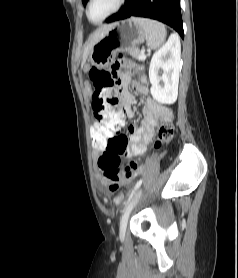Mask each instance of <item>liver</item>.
Masks as SVG:
<instances>
[{
	"label": "liver",
	"mask_w": 238,
	"mask_h": 278,
	"mask_svg": "<svg viewBox=\"0 0 238 278\" xmlns=\"http://www.w3.org/2000/svg\"><path fill=\"white\" fill-rule=\"evenodd\" d=\"M111 25H104L102 27H100L89 39V41L87 42V45L84 49V53H83V60H82V66H84L87 57L90 54V51L92 49V47L105 35V33L107 32V30L110 28Z\"/></svg>",
	"instance_id": "6515ba94"
}]
</instances>
